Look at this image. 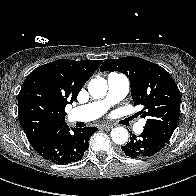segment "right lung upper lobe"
<instances>
[{"label":"right lung upper lobe","instance_id":"cb5924a9","mask_svg":"<svg viewBox=\"0 0 196 196\" xmlns=\"http://www.w3.org/2000/svg\"><path fill=\"white\" fill-rule=\"evenodd\" d=\"M101 63L60 59L27 76L19 93L18 116L32 146L66 126L65 106L77 98Z\"/></svg>","mask_w":196,"mask_h":196}]
</instances>
